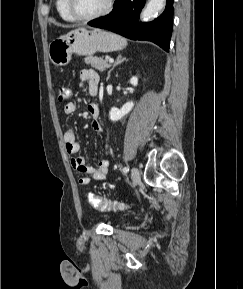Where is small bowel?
<instances>
[{"label": "small bowel", "mask_w": 243, "mask_h": 289, "mask_svg": "<svg viewBox=\"0 0 243 289\" xmlns=\"http://www.w3.org/2000/svg\"><path fill=\"white\" fill-rule=\"evenodd\" d=\"M80 86H86L91 96L97 95L99 87L98 74L92 69L82 70L80 73ZM76 110L77 105L74 102H70L64 107V113L66 115H72ZM88 112L93 119L91 123L92 129L98 133H103V128L98 122L100 114L98 105L96 103L89 104ZM63 138L66 152L73 156L70 160L72 168L82 174L78 178V184L80 186L88 185L91 179L102 181L106 178L109 167V160L107 158L99 160L94 166H89L86 164L85 158L82 155H78L80 145L77 142L75 131L73 129L66 130Z\"/></svg>", "instance_id": "obj_1"}]
</instances>
